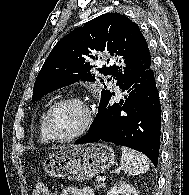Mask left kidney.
Here are the masks:
<instances>
[{"label":"left kidney","instance_id":"5707ae66","mask_svg":"<svg viewBox=\"0 0 189 195\" xmlns=\"http://www.w3.org/2000/svg\"><path fill=\"white\" fill-rule=\"evenodd\" d=\"M107 195H137L136 189L129 184H119L111 188Z\"/></svg>","mask_w":189,"mask_h":195}]
</instances>
